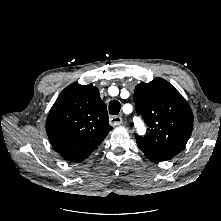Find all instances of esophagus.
Here are the masks:
<instances>
[{
	"label": "esophagus",
	"mask_w": 221,
	"mask_h": 221,
	"mask_svg": "<svg viewBox=\"0 0 221 221\" xmlns=\"http://www.w3.org/2000/svg\"><path fill=\"white\" fill-rule=\"evenodd\" d=\"M123 123V118L122 116H112L110 117V124L113 126H119Z\"/></svg>",
	"instance_id": "obj_1"
}]
</instances>
